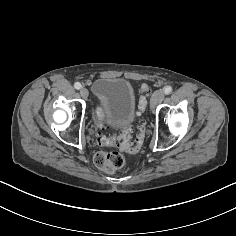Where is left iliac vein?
Listing matches in <instances>:
<instances>
[{
  "label": "left iliac vein",
  "instance_id": "obj_1",
  "mask_svg": "<svg viewBox=\"0 0 236 236\" xmlns=\"http://www.w3.org/2000/svg\"><path fill=\"white\" fill-rule=\"evenodd\" d=\"M165 94L162 90H157L153 93L150 101V106L154 109L159 103L163 101Z\"/></svg>",
  "mask_w": 236,
  "mask_h": 236
}]
</instances>
